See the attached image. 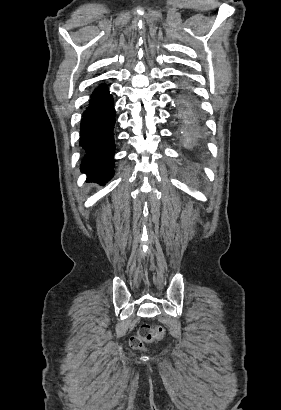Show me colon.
<instances>
[{
  "label": "colon",
  "instance_id": "colon-1",
  "mask_svg": "<svg viewBox=\"0 0 281 410\" xmlns=\"http://www.w3.org/2000/svg\"><path fill=\"white\" fill-rule=\"evenodd\" d=\"M164 332V328L160 325L150 326L143 324L139 327L136 334L130 338V346L134 350H141L144 348L145 343L161 338Z\"/></svg>",
  "mask_w": 281,
  "mask_h": 410
}]
</instances>
